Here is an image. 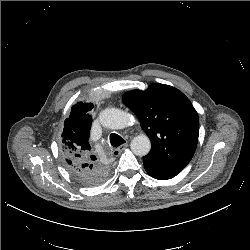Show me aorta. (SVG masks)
Masks as SVG:
<instances>
[{
  "label": "aorta",
  "instance_id": "762f6f07",
  "mask_svg": "<svg viewBox=\"0 0 250 250\" xmlns=\"http://www.w3.org/2000/svg\"><path fill=\"white\" fill-rule=\"evenodd\" d=\"M101 124L109 129H123L130 123V115L119 109H105L100 114ZM132 152L137 156H145L151 149L147 135L141 134L133 138L130 144Z\"/></svg>",
  "mask_w": 250,
  "mask_h": 250
}]
</instances>
